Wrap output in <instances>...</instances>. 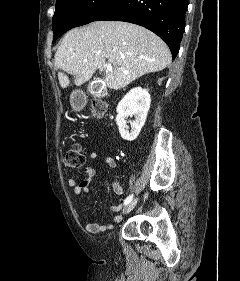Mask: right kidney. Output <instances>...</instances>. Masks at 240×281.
I'll return each instance as SVG.
<instances>
[{"mask_svg":"<svg viewBox=\"0 0 240 281\" xmlns=\"http://www.w3.org/2000/svg\"><path fill=\"white\" fill-rule=\"evenodd\" d=\"M150 102L151 98L148 90L136 87L131 89L118 103L116 123L124 140L133 141L137 138L145 124ZM132 116L135 117V120L130 121L129 127L126 119Z\"/></svg>","mask_w":240,"mask_h":281,"instance_id":"obj_1","label":"right kidney"}]
</instances>
